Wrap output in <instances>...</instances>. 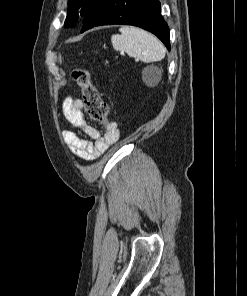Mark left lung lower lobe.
Instances as JSON below:
<instances>
[{
  "label": "left lung lower lobe",
  "instance_id": "obj_1",
  "mask_svg": "<svg viewBox=\"0 0 247 296\" xmlns=\"http://www.w3.org/2000/svg\"><path fill=\"white\" fill-rule=\"evenodd\" d=\"M126 24L155 34L170 50L169 27L158 0H100L84 17L81 33L99 25Z\"/></svg>",
  "mask_w": 247,
  "mask_h": 296
}]
</instances>
